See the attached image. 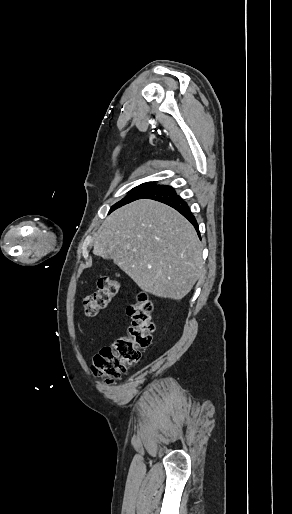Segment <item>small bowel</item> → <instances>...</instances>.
<instances>
[{"label": "small bowel", "instance_id": "small-bowel-1", "mask_svg": "<svg viewBox=\"0 0 292 514\" xmlns=\"http://www.w3.org/2000/svg\"><path fill=\"white\" fill-rule=\"evenodd\" d=\"M106 335H107V336H111V335H112V332H108Z\"/></svg>", "mask_w": 292, "mask_h": 514}]
</instances>
